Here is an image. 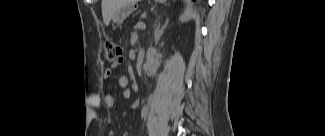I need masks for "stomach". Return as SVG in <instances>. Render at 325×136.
I'll use <instances>...</instances> for the list:
<instances>
[{
  "mask_svg": "<svg viewBox=\"0 0 325 136\" xmlns=\"http://www.w3.org/2000/svg\"><path fill=\"white\" fill-rule=\"evenodd\" d=\"M159 2H165V0H158ZM138 1H129V4L122 6L118 11H116L112 17L113 22L121 24L131 12H135L138 8Z\"/></svg>",
  "mask_w": 325,
  "mask_h": 136,
  "instance_id": "obj_1",
  "label": "stomach"
}]
</instances>
